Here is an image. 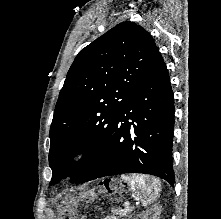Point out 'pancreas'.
I'll return each mask as SVG.
<instances>
[{"mask_svg":"<svg viewBox=\"0 0 221 219\" xmlns=\"http://www.w3.org/2000/svg\"><path fill=\"white\" fill-rule=\"evenodd\" d=\"M132 211L131 208L125 207V208H113L111 216L107 217L106 219H119V217H124L128 213Z\"/></svg>","mask_w":221,"mask_h":219,"instance_id":"1","label":"pancreas"}]
</instances>
